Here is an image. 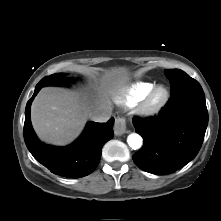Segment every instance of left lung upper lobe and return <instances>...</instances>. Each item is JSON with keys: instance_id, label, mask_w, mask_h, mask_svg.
I'll list each match as a JSON object with an SVG mask.
<instances>
[{"instance_id": "obj_1", "label": "left lung upper lobe", "mask_w": 221, "mask_h": 221, "mask_svg": "<svg viewBox=\"0 0 221 221\" xmlns=\"http://www.w3.org/2000/svg\"><path fill=\"white\" fill-rule=\"evenodd\" d=\"M166 77L169 79L171 84V94L177 92L178 90L193 85L198 84V82L191 78L184 71L179 69H168L164 70Z\"/></svg>"}]
</instances>
